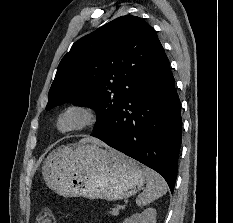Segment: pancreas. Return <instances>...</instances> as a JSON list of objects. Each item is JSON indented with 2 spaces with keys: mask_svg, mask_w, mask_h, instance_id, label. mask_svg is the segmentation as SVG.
<instances>
[{
  "mask_svg": "<svg viewBox=\"0 0 233 223\" xmlns=\"http://www.w3.org/2000/svg\"><path fill=\"white\" fill-rule=\"evenodd\" d=\"M116 211H118V209H116V207H112V211H110V213H116Z\"/></svg>",
  "mask_w": 233,
  "mask_h": 223,
  "instance_id": "cf45deb5",
  "label": "pancreas"
}]
</instances>
